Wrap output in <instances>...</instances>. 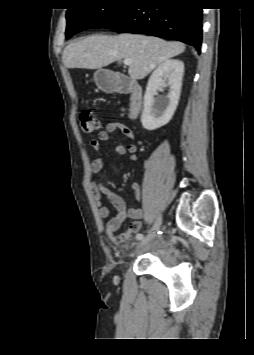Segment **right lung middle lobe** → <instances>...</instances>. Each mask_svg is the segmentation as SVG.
I'll list each match as a JSON object with an SVG mask.
<instances>
[{"label": "right lung middle lobe", "instance_id": "right-lung-middle-lobe-1", "mask_svg": "<svg viewBox=\"0 0 254 355\" xmlns=\"http://www.w3.org/2000/svg\"><path fill=\"white\" fill-rule=\"evenodd\" d=\"M138 0H92L86 7L72 8L67 11L66 39L74 34L109 24L131 3Z\"/></svg>", "mask_w": 254, "mask_h": 355}]
</instances>
